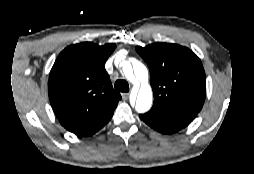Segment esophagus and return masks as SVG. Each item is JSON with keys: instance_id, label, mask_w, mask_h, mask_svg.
Returning <instances> with one entry per match:
<instances>
[{"instance_id": "esophagus-1", "label": "esophagus", "mask_w": 254, "mask_h": 174, "mask_svg": "<svg viewBox=\"0 0 254 174\" xmlns=\"http://www.w3.org/2000/svg\"><path fill=\"white\" fill-rule=\"evenodd\" d=\"M122 99L127 100L129 98V93H122Z\"/></svg>"}]
</instances>
